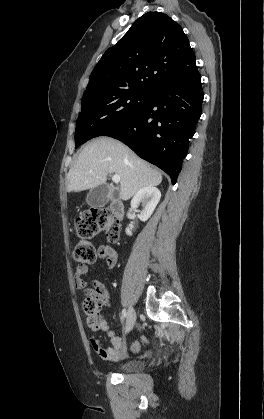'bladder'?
Returning <instances> with one entry per match:
<instances>
[{"label":"bladder","mask_w":264,"mask_h":419,"mask_svg":"<svg viewBox=\"0 0 264 419\" xmlns=\"http://www.w3.org/2000/svg\"><path fill=\"white\" fill-rule=\"evenodd\" d=\"M143 367H144L143 362L139 360H128L120 364L117 370L121 373H132V372H138L142 370Z\"/></svg>","instance_id":"1"}]
</instances>
